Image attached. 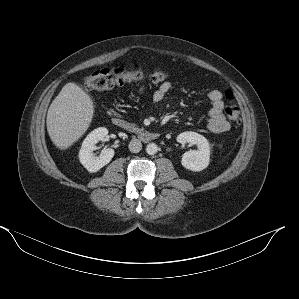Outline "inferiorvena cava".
<instances>
[{"label": "inferior vena cava", "mask_w": 299, "mask_h": 299, "mask_svg": "<svg viewBox=\"0 0 299 299\" xmlns=\"http://www.w3.org/2000/svg\"><path fill=\"white\" fill-rule=\"evenodd\" d=\"M142 149V143L139 139L133 138L129 142V150L132 153H138Z\"/></svg>", "instance_id": "inferior-vena-cava-1"}]
</instances>
